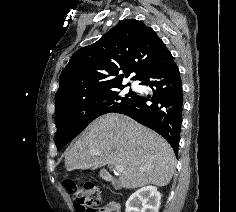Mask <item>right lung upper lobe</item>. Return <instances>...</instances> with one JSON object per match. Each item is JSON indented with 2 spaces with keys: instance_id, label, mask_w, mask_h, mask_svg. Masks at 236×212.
I'll return each instance as SVG.
<instances>
[{
  "instance_id": "obj_1",
  "label": "right lung upper lobe",
  "mask_w": 236,
  "mask_h": 212,
  "mask_svg": "<svg viewBox=\"0 0 236 212\" xmlns=\"http://www.w3.org/2000/svg\"><path fill=\"white\" fill-rule=\"evenodd\" d=\"M165 48L143 22H119L97 42L71 56L59 78L55 112L79 99L122 87L123 78L132 72L136 75L131 80H139ZM120 70L124 74L118 75Z\"/></svg>"
}]
</instances>
